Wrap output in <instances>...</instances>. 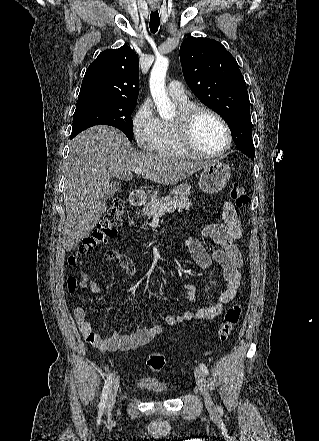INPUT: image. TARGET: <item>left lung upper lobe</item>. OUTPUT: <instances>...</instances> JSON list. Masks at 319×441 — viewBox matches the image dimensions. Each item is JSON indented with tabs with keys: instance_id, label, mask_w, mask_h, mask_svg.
<instances>
[{
	"instance_id": "1",
	"label": "left lung upper lobe",
	"mask_w": 319,
	"mask_h": 441,
	"mask_svg": "<svg viewBox=\"0 0 319 441\" xmlns=\"http://www.w3.org/2000/svg\"><path fill=\"white\" fill-rule=\"evenodd\" d=\"M180 61L194 94L226 121L237 148L254 160L250 101L235 58L215 40L189 36L181 44Z\"/></svg>"
}]
</instances>
